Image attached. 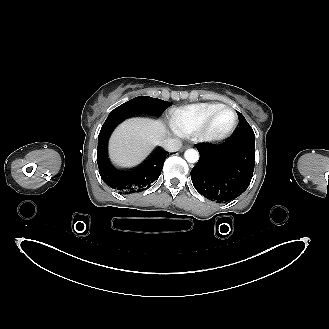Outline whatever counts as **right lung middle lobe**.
Wrapping results in <instances>:
<instances>
[{
	"mask_svg": "<svg viewBox=\"0 0 329 329\" xmlns=\"http://www.w3.org/2000/svg\"><path fill=\"white\" fill-rule=\"evenodd\" d=\"M170 106L169 102L152 98L149 96H139L118 106L110 112L106 121H121L127 116L135 114H150L160 116L162 112Z\"/></svg>",
	"mask_w": 329,
	"mask_h": 329,
	"instance_id": "1",
	"label": "right lung middle lobe"
}]
</instances>
